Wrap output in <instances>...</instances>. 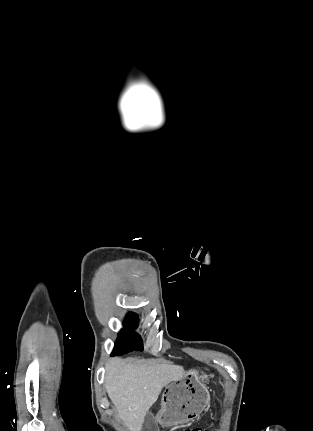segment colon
I'll return each mask as SVG.
<instances>
[{
  "label": "colon",
  "instance_id": "1",
  "mask_svg": "<svg viewBox=\"0 0 313 431\" xmlns=\"http://www.w3.org/2000/svg\"><path fill=\"white\" fill-rule=\"evenodd\" d=\"M183 431H208V430L207 429H203L201 427H195V428L184 429Z\"/></svg>",
  "mask_w": 313,
  "mask_h": 431
}]
</instances>
